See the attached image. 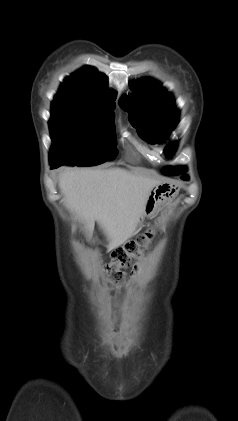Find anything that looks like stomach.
Segmentation results:
<instances>
[{"label": "stomach", "mask_w": 238, "mask_h": 421, "mask_svg": "<svg viewBox=\"0 0 238 421\" xmlns=\"http://www.w3.org/2000/svg\"><path fill=\"white\" fill-rule=\"evenodd\" d=\"M175 187L172 184L159 183L152 188L149 193L147 202L145 204L144 212L140 217L139 222L143 221L146 216H151L156 211L157 207L165 200L169 199L175 194Z\"/></svg>", "instance_id": "stomach-1"}]
</instances>
